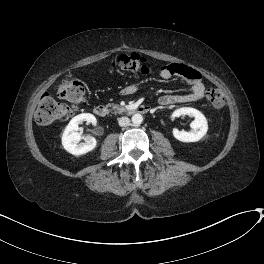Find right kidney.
<instances>
[{
  "instance_id": "obj_1",
  "label": "right kidney",
  "mask_w": 264,
  "mask_h": 264,
  "mask_svg": "<svg viewBox=\"0 0 264 264\" xmlns=\"http://www.w3.org/2000/svg\"><path fill=\"white\" fill-rule=\"evenodd\" d=\"M87 121L96 125V118L90 113H82L71 119L69 124L66 126L62 135V145L64 149L73 155H83L92 151L97 144L94 137L88 135L84 138L85 142L79 143L83 138L80 133H78L79 125Z\"/></svg>"
}]
</instances>
